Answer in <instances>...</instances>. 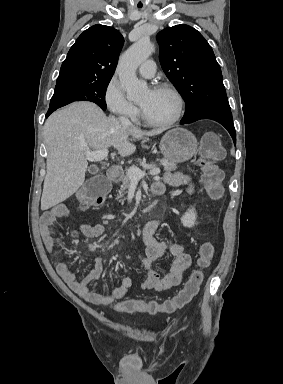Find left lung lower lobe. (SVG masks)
Returning <instances> with one entry per match:
<instances>
[{
  "label": "left lung lower lobe",
  "mask_w": 283,
  "mask_h": 384,
  "mask_svg": "<svg viewBox=\"0 0 283 384\" xmlns=\"http://www.w3.org/2000/svg\"><path fill=\"white\" fill-rule=\"evenodd\" d=\"M200 119H212L222 124L228 130V132L233 138L234 143L236 144V133H235L231 112L207 113V114L200 115L189 121H185V122L181 121L180 124H188Z\"/></svg>",
  "instance_id": "left-lung-lower-lobe-1"
}]
</instances>
